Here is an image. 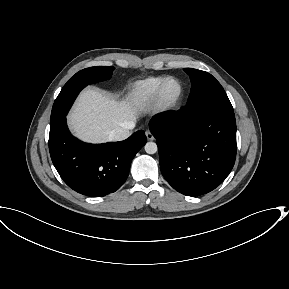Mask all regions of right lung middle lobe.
Wrapping results in <instances>:
<instances>
[{
    "instance_id": "right-lung-middle-lobe-1",
    "label": "right lung middle lobe",
    "mask_w": 289,
    "mask_h": 289,
    "mask_svg": "<svg viewBox=\"0 0 289 289\" xmlns=\"http://www.w3.org/2000/svg\"><path fill=\"white\" fill-rule=\"evenodd\" d=\"M114 67H90L77 72L64 85L51 112L50 126L65 117L78 93L87 85L110 79Z\"/></svg>"
}]
</instances>
